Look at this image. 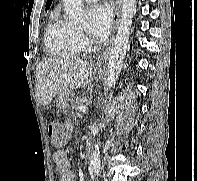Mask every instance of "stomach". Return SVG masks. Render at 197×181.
<instances>
[{"label":"stomach","mask_w":197,"mask_h":181,"mask_svg":"<svg viewBox=\"0 0 197 181\" xmlns=\"http://www.w3.org/2000/svg\"><path fill=\"white\" fill-rule=\"evenodd\" d=\"M96 72L100 74L102 71L101 69H97ZM75 97V94L71 90H63L56 95V104L57 107L62 110L66 111L70 108L71 103Z\"/></svg>","instance_id":"stomach-1"}]
</instances>
